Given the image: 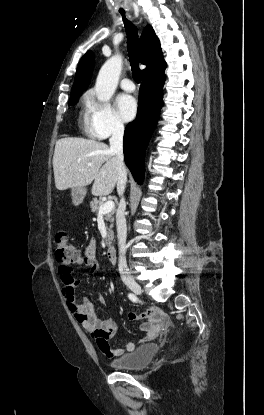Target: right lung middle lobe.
Segmentation results:
<instances>
[{
	"label": "right lung middle lobe",
	"instance_id": "dd1d6c3e",
	"mask_svg": "<svg viewBox=\"0 0 264 415\" xmlns=\"http://www.w3.org/2000/svg\"><path fill=\"white\" fill-rule=\"evenodd\" d=\"M79 96L80 95L70 97L69 105H74L77 102Z\"/></svg>",
	"mask_w": 264,
	"mask_h": 415
}]
</instances>
